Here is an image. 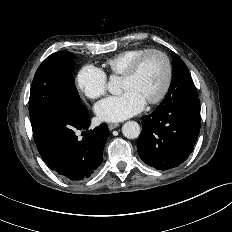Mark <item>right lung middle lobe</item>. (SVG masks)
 Returning a JSON list of instances; mask_svg holds the SVG:
<instances>
[{
	"instance_id": "dd1d6c3e",
	"label": "right lung middle lobe",
	"mask_w": 232,
	"mask_h": 232,
	"mask_svg": "<svg viewBox=\"0 0 232 232\" xmlns=\"http://www.w3.org/2000/svg\"><path fill=\"white\" fill-rule=\"evenodd\" d=\"M73 54L60 51L48 56L37 69L30 89L29 114L34 141L49 121L64 110L82 111L74 82Z\"/></svg>"
}]
</instances>
